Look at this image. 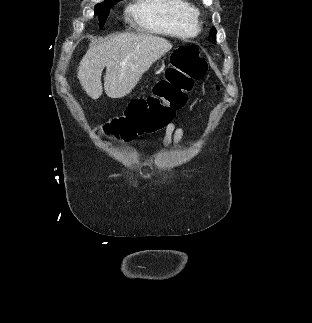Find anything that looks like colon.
Wrapping results in <instances>:
<instances>
[{"label": "colon", "mask_w": 312, "mask_h": 323, "mask_svg": "<svg viewBox=\"0 0 312 323\" xmlns=\"http://www.w3.org/2000/svg\"><path fill=\"white\" fill-rule=\"evenodd\" d=\"M206 71L207 63L196 46L176 48L164 78L155 86L156 95L132 101L124 115L98 132L105 139L127 141L162 130L174 120V111L186 103L194 81L201 80Z\"/></svg>", "instance_id": "1"}]
</instances>
